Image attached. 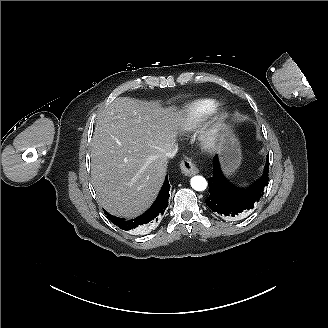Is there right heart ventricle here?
Wrapping results in <instances>:
<instances>
[{"label": "right heart ventricle", "instance_id": "e07e8e85", "mask_svg": "<svg viewBox=\"0 0 328 328\" xmlns=\"http://www.w3.org/2000/svg\"><path fill=\"white\" fill-rule=\"evenodd\" d=\"M215 102L216 99L207 97L186 101L178 111L181 124L179 138L193 135L200 125L202 116Z\"/></svg>", "mask_w": 328, "mask_h": 328}]
</instances>
